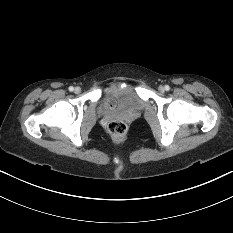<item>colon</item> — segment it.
Listing matches in <instances>:
<instances>
[{
  "label": "colon",
  "instance_id": "5ec220e1",
  "mask_svg": "<svg viewBox=\"0 0 233 233\" xmlns=\"http://www.w3.org/2000/svg\"><path fill=\"white\" fill-rule=\"evenodd\" d=\"M108 132L115 138H122L126 135L127 126L123 121L115 120L108 125Z\"/></svg>",
  "mask_w": 233,
  "mask_h": 233
}]
</instances>
